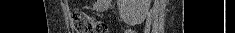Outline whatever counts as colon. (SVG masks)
Listing matches in <instances>:
<instances>
[{
  "label": "colon",
  "instance_id": "1",
  "mask_svg": "<svg viewBox=\"0 0 235 33\" xmlns=\"http://www.w3.org/2000/svg\"><path fill=\"white\" fill-rule=\"evenodd\" d=\"M76 33H107V26L82 12L75 13L72 18Z\"/></svg>",
  "mask_w": 235,
  "mask_h": 33
}]
</instances>
